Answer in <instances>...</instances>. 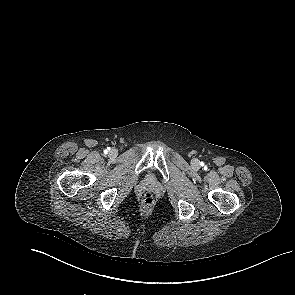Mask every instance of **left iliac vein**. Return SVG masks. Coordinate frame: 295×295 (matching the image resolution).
<instances>
[{"label":"left iliac vein","instance_id":"4c4485c4","mask_svg":"<svg viewBox=\"0 0 295 295\" xmlns=\"http://www.w3.org/2000/svg\"><path fill=\"white\" fill-rule=\"evenodd\" d=\"M192 166H193V167H198V166H199V162H198V160H196V159L193 160V161H192Z\"/></svg>","mask_w":295,"mask_h":295}]
</instances>
